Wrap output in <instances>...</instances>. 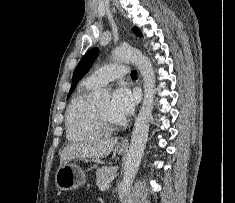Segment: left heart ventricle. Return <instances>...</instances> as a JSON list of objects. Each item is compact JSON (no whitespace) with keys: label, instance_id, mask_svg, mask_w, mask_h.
<instances>
[{"label":"left heart ventricle","instance_id":"b2bd125f","mask_svg":"<svg viewBox=\"0 0 235 203\" xmlns=\"http://www.w3.org/2000/svg\"><path fill=\"white\" fill-rule=\"evenodd\" d=\"M109 101L105 100L97 104L100 111L103 113V115L111 122V123H117V121L110 115L109 113Z\"/></svg>","mask_w":235,"mask_h":203}]
</instances>
